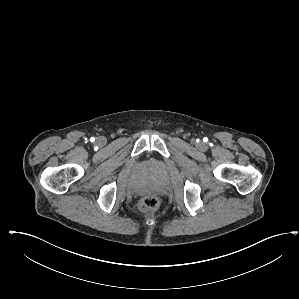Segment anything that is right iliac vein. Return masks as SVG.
I'll list each match as a JSON object with an SVG mask.
<instances>
[{
    "mask_svg": "<svg viewBox=\"0 0 299 299\" xmlns=\"http://www.w3.org/2000/svg\"><path fill=\"white\" fill-rule=\"evenodd\" d=\"M105 142H106V140H105V138H103V137H99L98 140H97V143H98L99 145H104Z\"/></svg>",
    "mask_w": 299,
    "mask_h": 299,
    "instance_id": "1",
    "label": "right iliac vein"
}]
</instances>
